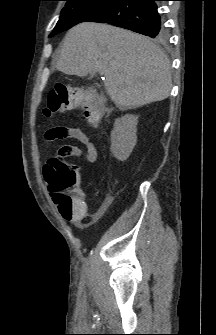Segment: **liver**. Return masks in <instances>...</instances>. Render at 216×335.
Returning <instances> with one entry per match:
<instances>
[{
  "label": "liver",
  "instance_id": "1",
  "mask_svg": "<svg viewBox=\"0 0 216 335\" xmlns=\"http://www.w3.org/2000/svg\"><path fill=\"white\" fill-rule=\"evenodd\" d=\"M56 68L67 75H104L105 89L121 109L166 99L171 66L163 51L147 37L102 23H80L62 43Z\"/></svg>",
  "mask_w": 216,
  "mask_h": 335
}]
</instances>
